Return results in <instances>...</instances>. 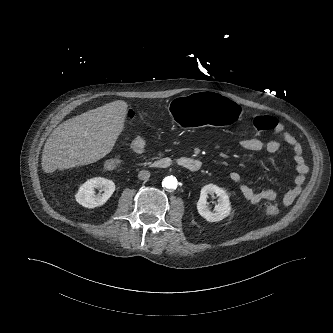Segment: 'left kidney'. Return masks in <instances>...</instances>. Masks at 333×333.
Returning <instances> with one entry per match:
<instances>
[{
	"label": "left kidney",
	"mask_w": 333,
	"mask_h": 333,
	"mask_svg": "<svg viewBox=\"0 0 333 333\" xmlns=\"http://www.w3.org/2000/svg\"><path fill=\"white\" fill-rule=\"evenodd\" d=\"M208 194H216L218 203L215 205V212L208 209L207 198ZM198 213L208 222H218L226 218L231 211L229 196L226 191L214 184L205 185L201 189L200 198L197 202Z\"/></svg>",
	"instance_id": "1"
}]
</instances>
